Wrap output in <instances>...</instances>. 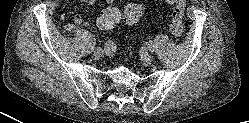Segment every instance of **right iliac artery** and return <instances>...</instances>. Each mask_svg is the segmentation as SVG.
Listing matches in <instances>:
<instances>
[{"label":"right iliac artery","instance_id":"obj_1","mask_svg":"<svg viewBox=\"0 0 249 123\" xmlns=\"http://www.w3.org/2000/svg\"><path fill=\"white\" fill-rule=\"evenodd\" d=\"M111 48H112V42L111 41L106 42L104 45V49L110 50Z\"/></svg>","mask_w":249,"mask_h":123}]
</instances>
